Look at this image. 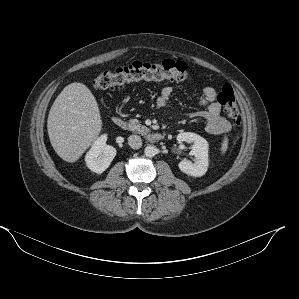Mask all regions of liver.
<instances>
[{"instance_id":"1","label":"liver","mask_w":299,"mask_h":299,"mask_svg":"<svg viewBox=\"0 0 299 299\" xmlns=\"http://www.w3.org/2000/svg\"><path fill=\"white\" fill-rule=\"evenodd\" d=\"M101 129L99 107L91 91L82 83L67 85L48 115V136L57 155L66 162H76Z\"/></svg>"}]
</instances>
